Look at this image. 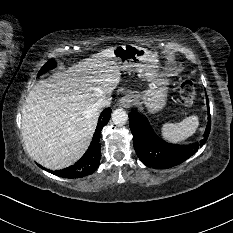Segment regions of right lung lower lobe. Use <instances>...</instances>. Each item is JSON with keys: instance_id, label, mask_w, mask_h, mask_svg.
<instances>
[{"instance_id": "obj_1", "label": "right lung lower lobe", "mask_w": 233, "mask_h": 233, "mask_svg": "<svg viewBox=\"0 0 233 233\" xmlns=\"http://www.w3.org/2000/svg\"><path fill=\"white\" fill-rule=\"evenodd\" d=\"M111 109L106 108L103 110L99 117L98 125L93 137V140L82 158L74 165L58 171H51L54 175L64 178H79L92 174L99 166L101 159V147L99 144L100 131L104 125H106L110 119ZM40 166V165H39ZM44 169V167L40 166Z\"/></svg>"}]
</instances>
